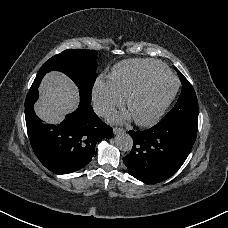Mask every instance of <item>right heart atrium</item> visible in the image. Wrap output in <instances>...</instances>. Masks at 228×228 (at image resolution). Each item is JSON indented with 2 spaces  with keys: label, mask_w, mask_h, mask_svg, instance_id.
<instances>
[{
  "label": "right heart atrium",
  "mask_w": 228,
  "mask_h": 228,
  "mask_svg": "<svg viewBox=\"0 0 228 228\" xmlns=\"http://www.w3.org/2000/svg\"><path fill=\"white\" fill-rule=\"evenodd\" d=\"M93 100L96 110L101 114L122 105L124 101L110 80L97 81L93 90Z\"/></svg>",
  "instance_id": "1"
}]
</instances>
